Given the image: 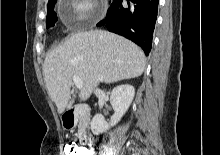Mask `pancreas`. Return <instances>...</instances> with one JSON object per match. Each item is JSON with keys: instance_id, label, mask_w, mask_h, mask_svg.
Here are the masks:
<instances>
[{"instance_id": "1", "label": "pancreas", "mask_w": 220, "mask_h": 155, "mask_svg": "<svg viewBox=\"0 0 220 155\" xmlns=\"http://www.w3.org/2000/svg\"><path fill=\"white\" fill-rule=\"evenodd\" d=\"M82 120H83V119L80 117V118H79V121H80L79 128H81V127H82Z\"/></svg>"}]
</instances>
